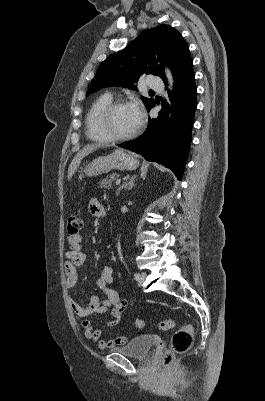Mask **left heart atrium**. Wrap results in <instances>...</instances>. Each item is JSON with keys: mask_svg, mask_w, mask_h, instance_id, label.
Instances as JSON below:
<instances>
[{"mask_svg": "<svg viewBox=\"0 0 265 401\" xmlns=\"http://www.w3.org/2000/svg\"><path fill=\"white\" fill-rule=\"evenodd\" d=\"M130 109H131V112L134 115L136 123L138 125L142 118V112H143L142 106L139 102H134V103L130 104Z\"/></svg>", "mask_w": 265, "mask_h": 401, "instance_id": "obj_1", "label": "left heart atrium"}]
</instances>
